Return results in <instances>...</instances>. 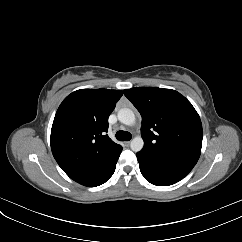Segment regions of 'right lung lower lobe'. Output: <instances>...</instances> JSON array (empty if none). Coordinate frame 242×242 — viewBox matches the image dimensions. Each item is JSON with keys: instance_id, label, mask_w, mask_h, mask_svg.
I'll return each instance as SVG.
<instances>
[{"instance_id": "right-lung-lower-lobe-1", "label": "right lung lower lobe", "mask_w": 242, "mask_h": 242, "mask_svg": "<svg viewBox=\"0 0 242 242\" xmlns=\"http://www.w3.org/2000/svg\"><path fill=\"white\" fill-rule=\"evenodd\" d=\"M122 147L116 149L111 154L105 156L96 163L89 171L75 179L74 181L88 187L99 186L110 179L113 175L116 163L121 154Z\"/></svg>"}]
</instances>
